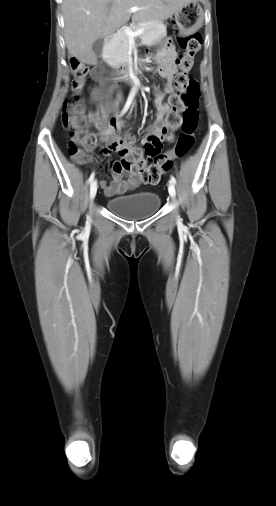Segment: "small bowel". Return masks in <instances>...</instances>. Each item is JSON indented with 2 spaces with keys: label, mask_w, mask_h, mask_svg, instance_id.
I'll return each instance as SVG.
<instances>
[{
  "label": "small bowel",
  "mask_w": 276,
  "mask_h": 506,
  "mask_svg": "<svg viewBox=\"0 0 276 506\" xmlns=\"http://www.w3.org/2000/svg\"><path fill=\"white\" fill-rule=\"evenodd\" d=\"M177 58L178 54L172 45L171 41H168L163 48H161L156 57V69L155 71L163 77L166 82L162 91H160L155 99L156 106V119L155 122L147 128L144 138L142 139V144L144 145L149 137H157L160 140L166 138L168 132H172L169 130V126L166 123V115L170 111V105L163 102L164 94H171L174 91L173 88V76L177 71ZM91 77L99 82V85L94 87L91 90V99L92 101H98L100 99L106 98V91L104 89L103 82L101 81V77L98 74L97 70L91 72ZM83 84V82H82ZM82 84L78 85L74 82L73 88L80 89ZM96 120H100L103 123H106L108 120V111L106 108H102L100 113L95 116ZM122 122H112L111 125L105 127L102 132L104 134L113 132V126H122ZM154 156H150L152 158ZM108 173L112 177V182L110 185H107L105 180H100L99 185L104 190V193L107 196H114L117 194H122L127 191L133 190L136 188L140 179L137 174L126 171L121 164V161L113 160L107 157V164L105 166Z\"/></svg>",
  "instance_id": "c3829d8e"
}]
</instances>
